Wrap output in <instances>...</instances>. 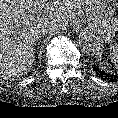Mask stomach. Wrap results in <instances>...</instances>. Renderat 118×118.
Wrapping results in <instances>:
<instances>
[{"instance_id":"0dacf381","label":"stomach","mask_w":118,"mask_h":118,"mask_svg":"<svg viewBox=\"0 0 118 118\" xmlns=\"http://www.w3.org/2000/svg\"><path fill=\"white\" fill-rule=\"evenodd\" d=\"M91 25L92 29L95 30L101 39L104 41H112L118 30V19L111 10L103 6L100 11L95 14Z\"/></svg>"}]
</instances>
